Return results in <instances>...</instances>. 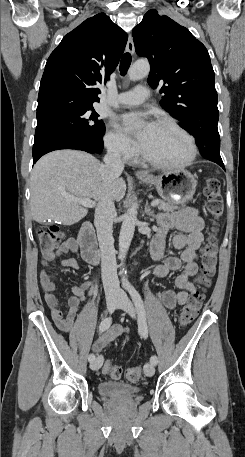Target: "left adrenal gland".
Returning <instances> with one entry per match:
<instances>
[{
  "instance_id": "left-adrenal-gland-1",
  "label": "left adrenal gland",
  "mask_w": 245,
  "mask_h": 457,
  "mask_svg": "<svg viewBox=\"0 0 245 457\" xmlns=\"http://www.w3.org/2000/svg\"><path fill=\"white\" fill-rule=\"evenodd\" d=\"M144 210H145L146 214H149V216H152V218H155L154 210H151L150 206H148V200H146Z\"/></svg>"
}]
</instances>
